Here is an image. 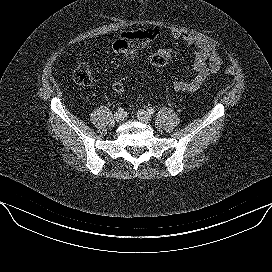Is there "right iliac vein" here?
Segmentation results:
<instances>
[{
    "instance_id": "obj_1",
    "label": "right iliac vein",
    "mask_w": 272,
    "mask_h": 272,
    "mask_svg": "<svg viewBox=\"0 0 272 272\" xmlns=\"http://www.w3.org/2000/svg\"><path fill=\"white\" fill-rule=\"evenodd\" d=\"M114 119H115V121H117V122H121V121L124 119V116H123L122 113L116 112V113L114 114Z\"/></svg>"
}]
</instances>
